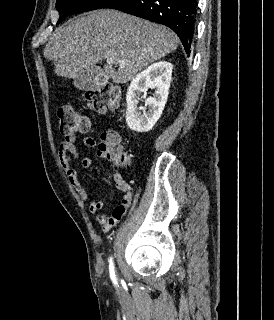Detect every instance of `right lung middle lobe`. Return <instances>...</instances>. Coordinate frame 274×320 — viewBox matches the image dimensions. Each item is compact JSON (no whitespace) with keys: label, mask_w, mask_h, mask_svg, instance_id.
Listing matches in <instances>:
<instances>
[{"label":"right lung middle lobe","mask_w":274,"mask_h":320,"mask_svg":"<svg viewBox=\"0 0 274 320\" xmlns=\"http://www.w3.org/2000/svg\"><path fill=\"white\" fill-rule=\"evenodd\" d=\"M112 0H57L56 8L60 13L57 24L61 23L68 15L101 9Z\"/></svg>","instance_id":"1"}]
</instances>
